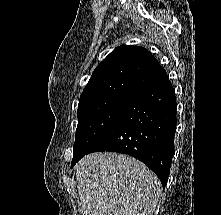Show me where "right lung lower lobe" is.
<instances>
[{"mask_svg": "<svg viewBox=\"0 0 221 215\" xmlns=\"http://www.w3.org/2000/svg\"><path fill=\"white\" fill-rule=\"evenodd\" d=\"M175 128V91L165 77L132 98L86 154L113 151L131 155L155 172L165 186L173 157ZM82 157L73 159L71 166Z\"/></svg>", "mask_w": 221, "mask_h": 215, "instance_id": "1", "label": "right lung lower lobe"}]
</instances>
